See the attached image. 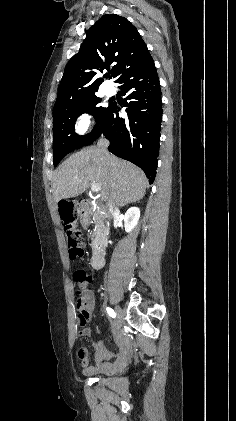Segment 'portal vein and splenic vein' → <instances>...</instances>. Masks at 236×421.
Instances as JSON below:
<instances>
[{
    "label": "portal vein and splenic vein",
    "mask_w": 236,
    "mask_h": 421,
    "mask_svg": "<svg viewBox=\"0 0 236 421\" xmlns=\"http://www.w3.org/2000/svg\"><path fill=\"white\" fill-rule=\"evenodd\" d=\"M91 190H93V192H98V190H101V186H100L99 182H95V180H92Z\"/></svg>",
    "instance_id": "obj_1"
}]
</instances>
